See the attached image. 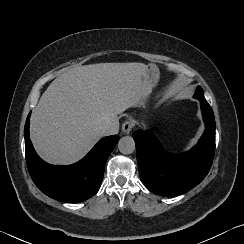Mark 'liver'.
<instances>
[{"label":"liver","instance_id":"obj_1","mask_svg":"<svg viewBox=\"0 0 244 244\" xmlns=\"http://www.w3.org/2000/svg\"><path fill=\"white\" fill-rule=\"evenodd\" d=\"M143 63H98L67 68L35 107L30 138L38 155L53 165L81 160L102 137L105 122L145 97Z\"/></svg>","mask_w":244,"mask_h":244}]
</instances>
